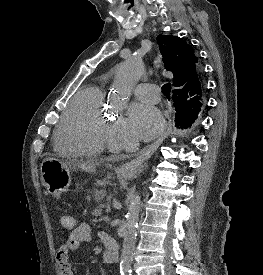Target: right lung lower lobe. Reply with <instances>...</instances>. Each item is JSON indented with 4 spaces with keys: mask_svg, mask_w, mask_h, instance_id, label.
I'll return each instance as SVG.
<instances>
[{
    "mask_svg": "<svg viewBox=\"0 0 263 275\" xmlns=\"http://www.w3.org/2000/svg\"><path fill=\"white\" fill-rule=\"evenodd\" d=\"M201 70L200 67L197 68L195 71V76L199 79H201ZM184 99H185V92L181 90L173 91V101L174 106L176 107V117L175 122L176 126H179L180 128H188L191 127L192 123L195 122L197 119L198 114H191L187 112V110L184 108Z\"/></svg>",
    "mask_w": 263,
    "mask_h": 275,
    "instance_id": "98d812e1",
    "label": "right lung lower lobe"
}]
</instances>
